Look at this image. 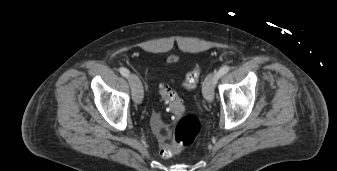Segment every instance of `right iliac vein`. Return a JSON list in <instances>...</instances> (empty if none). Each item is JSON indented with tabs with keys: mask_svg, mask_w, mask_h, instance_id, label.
I'll return each mask as SVG.
<instances>
[{
	"mask_svg": "<svg viewBox=\"0 0 337 171\" xmlns=\"http://www.w3.org/2000/svg\"><path fill=\"white\" fill-rule=\"evenodd\" d=\"M128 81L132 89L134 102L140 104L143 100V89L139 78L135 74H129Z\"/></svg>",
	"mask_w": 337,
	"mask_h": 171,
	"instance_id": "63e3f726",
	"label": "right iliac vein"
}]
</instances>
